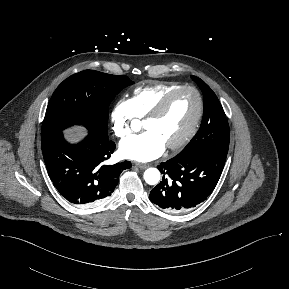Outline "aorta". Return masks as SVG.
<instances>
[{"mask_svg":"<svg viewBox=\"0 0 289 289\" xmlns=\"http://www.w3.org/2000/svg\"><path fill=\"white\" fill-rule=\"evenodd\" d=\"M144 180L149 185H156L160 181V172L156 168H148L144 172Z\"/></svg>","mask_w":289,"mask_h":289,"instance_id":"aorta-1","label":"aorta"}]
</instances>
